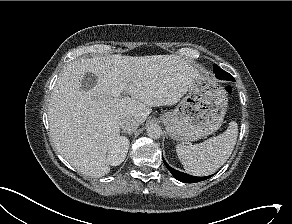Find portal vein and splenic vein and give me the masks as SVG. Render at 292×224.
<instances>
[{"label":"portal vein and splenic vein","instance_id":"portal-vein-and-splenic-vein-1","mask_svg":"<svg viewBox=\"0 0 292 224\" xmlns=\"http://www.w3.org/2000/svg\"><path fill=\"white\" fill-rule=\"evenodd\" d=\"M112 93H113V95L117 96V95H119L121 93V89H114L112 91Z\"/></svg>","mask_w":292,"mask_h":224}]
</instances>
